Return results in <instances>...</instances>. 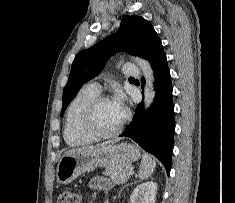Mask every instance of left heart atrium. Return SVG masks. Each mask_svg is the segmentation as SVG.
I'll use <instances>...</instances> for the list:
<instances>
[{"label": "left heart atrium", "mask_w": 235, "mask_h": 203, "mask_svg": "<svg viewBox=\"0 0 235 203\" xmlns=\"http://www.w3.org/2000/svg\"><path fill=\"white\" fill-rule=\"evenodd\" d=\"M113 101L117 104V105H119L122 109H124L125 110V101H124V97H123V95L122 94H117L116 96H115V98L113 99Z\"/></svg>", "instance_id": "39dd6f15"}]
</instances>
